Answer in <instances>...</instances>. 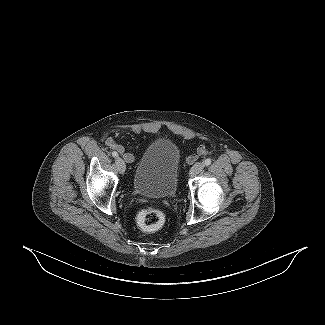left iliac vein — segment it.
Listing matches in <instances>:
<instances>
[{
	"mask_svg": "<svg viewBox=\"0 0 325 325\" xmlns=\"http://www.w3.org/2000/svg\"><path fill=\"white\" fill-rule=\"evenodd\" d=\"M205 167V164L202 162H197L193 165V167L190 169L189 175L195 176L199 174Z\"/></svg>",
	"mask_w": 325,
	"mask_h": 325,
	"instance_id": "1",
	"label": "left iliac vein"
}]
</instances>
